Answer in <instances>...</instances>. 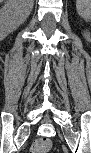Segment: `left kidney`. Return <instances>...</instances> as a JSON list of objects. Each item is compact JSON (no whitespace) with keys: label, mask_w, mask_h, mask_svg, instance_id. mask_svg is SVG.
<instances>
[{"label":"left kidney","mask_w":91,"mask_h":153,"mask_svg":"<svg viewBox=\"0 0 91 153\" xmlns=\"http://www.w3.org/2000/svg\"><path fill=\"white\" fill-rule=\"evenodd\" d=\"M84 36L86 37V39H89V34L88 33H84Z\"/></svg>","instance_id":"obj_1"}]
</instances>
